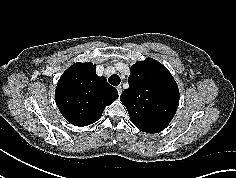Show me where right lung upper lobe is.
Wrapping results in <instances>:
<instances>
[{
	"mask_svg": "<svg viewBox=\"0 0 236 178\" xmlns=\"http://www.w3.org/2000/svg\"><path fill=\"white\" fill-rule=\"evenodd\" d=\"M118 98V91L105 77L96 75L91 62L75 63L60 77L55 102L64 118L75 126L96 122L106 106Z\"/></svg>",
	"mask_w": 236,
	"mask_h": 178,
	"instance_id": "cb5924a9",
	"label": "right lung upper lobe"
}]
</instances>
